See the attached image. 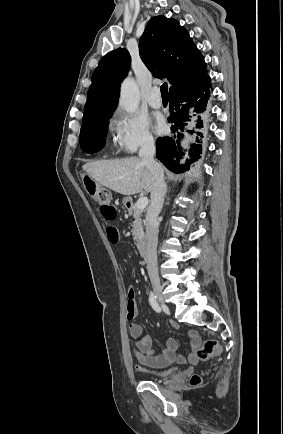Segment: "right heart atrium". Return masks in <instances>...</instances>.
<instances>
[{"mask_svg":"<svg viewBox=\"0 0 283 434\" xmlns=\"http://www.w3.org/2000/svg\"><path fill=\"white\" fill-rule=\"evenodd\" d=\"M115 144L125 153L151 146L154 142L148 120L138 114L118 113L114 120Z\"/></svg>","mask_w":283,"mask_h":434,"instance_id":"right-heart-atrium-1","label":"right heart atrium"}]
</instances>
